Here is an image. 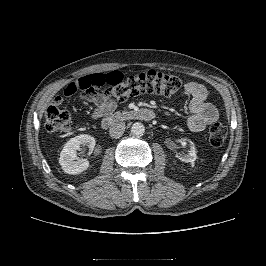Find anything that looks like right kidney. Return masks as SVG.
<instances>
[{
  "instance_id": "obj_1",
  "label": "right kidney",
  "mask_w": 266,
  "mask_h": 266,
  "mask_svg": "<svg viewBox=\"0 0 266 266\" xmlns=\"http://www.w3.org/2000/svg\"><path fill=\"white\" fill-rule=\"evenodd\" d=\"M81 145H87L90 152L93 151L95 146L94 137L81 134L71 138L64 146L60 153L59 163L63 171L67 174H80L89 167V161L87 159L77 158V150Z\"/></svg>"
}]
</instances>
